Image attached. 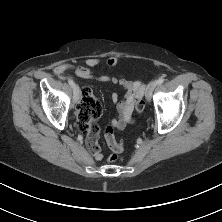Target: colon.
<instances>
[{
	"instance_id": "1",
	"label": "colon",
	"mask_w": 222,
	"mask_h": 222,
	"mask_svg": "<svg viewBox=\"0 0 222 222\" xmlns=\"http://www.w3.org/2000/svg\"><path fill=\"white\" fill-rule=\"evenodd\" d=\"M144 109L143 101H139L136 105V110L141 113ZM102 112V107L98 99L94 96L89 88L82 90L81 102L78 108L77 126L80 131L86 132L91 120L97 119ZM105 139L112 150L111 155L108 158L109 162H115L118 159V154L123 151L124 145L114 137L111 127H107Z\"/></svg>"
}]
</instances>
